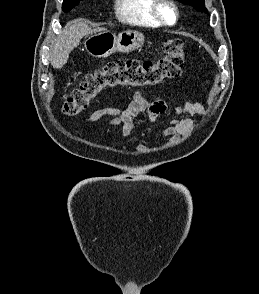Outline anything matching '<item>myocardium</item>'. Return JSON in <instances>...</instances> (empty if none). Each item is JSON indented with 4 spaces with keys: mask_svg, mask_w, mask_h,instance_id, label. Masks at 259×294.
Listing matches in <instances>:
<instances>
[{
    "mask_svg": "<svg viewBox=\"0 0 259 294\" xmlns=\"http://www.w3.org/2000/svg\"><path fill=\"white\" fill-rule=\"evenodd\" d=\"M167 7L171 9L173 15H174V20L173 22H168L162 13V8ZM151 14L153 18L163 26H173L178 22L179 19V11L177 6L172 0H152L151 4Z\"/></svg>",
    "mask_w": 259,
    "mask_h": 294,
    "instance_id": "myocardium-1",
    "label": "myocardium"
}]
</instances>
